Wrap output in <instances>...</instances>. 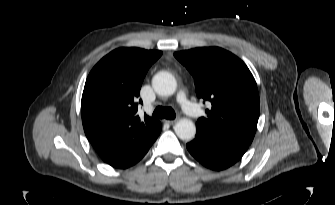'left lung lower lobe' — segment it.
Listing matches in <instances>:
<instances>
[{
	"label": "left lung lower lobe",
	"mask_w": 335,
	"mask_h": 205,
	"mask_svg": "<svg viewBox=\"0 0 335 205\" xmlns=\"http://www.w3.org/2000/svg\"><path fill=\"white\" fill-rule=\"evenodd\" d=\"M186 147L204 166L213 170H223L236 163L249 145L231 142L197 129L195 139Z\"/></svg>",
	"instance_id": "0a47b994"
}]
</instances>
